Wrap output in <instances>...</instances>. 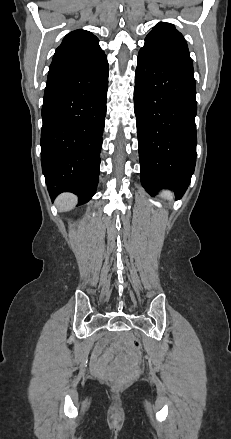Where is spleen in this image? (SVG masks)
<instances>
[{
  "label": "spleen",
  "mask_w": 231,
  "mask_h": 439,
  "mask_svg": "<svg viewBox=\"0 0 231 439\" xmlns=\"http://www.w3.org/2000/svg\"><path fill=\"white\" fill-rule=\"evenodd\" d=\"M171 195H172V193L170 191H168V190L163 191L162 194H161V196L164 199H169L171 197Z\"/></svg>",
  "instance_id": "3e777b00"
}]
</instances>
